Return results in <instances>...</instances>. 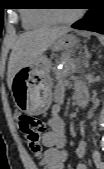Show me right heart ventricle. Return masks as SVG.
<instances>
[{
    "mask_svg": "<svg viewBox=\"0 0 104 169\" xmlns=\"http://www.w3.org/2000/svg\"><path fill=\"white\" fill-rule=\"evenodd\" d=\"M22 20L24 26L27 28L48 26L54 23L48 14L42 10L25 11L22 13Z\"/></svg>",
    "mask_w": 104,
    "mask_h": 169,
    "instance_id": "right-heart-ventricle-1",
    "label": "right heart ventricle"
}]
</instances>
